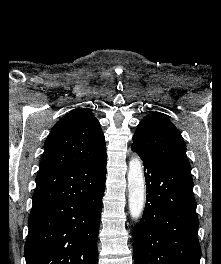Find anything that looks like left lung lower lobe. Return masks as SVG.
<instances>
[{
	"label": "left lung lower lobe",
	"instance_id": "1",
	"mask_svg": "<svg viewBox=\"0 0 221 264\" xmlns=\"http://www.w3.org/2000/svg\"><path fill=\"white\" fill-rule=\"evenodd\" d=\"M146 205L134 228L135 264H199L201 248L190 170L141 154Z\"/></svg>",
	"mask_w": 221,
	"mask_h": 264
}]
</instances>
